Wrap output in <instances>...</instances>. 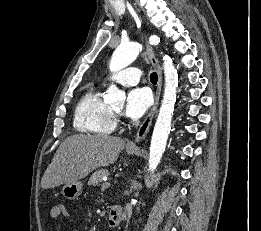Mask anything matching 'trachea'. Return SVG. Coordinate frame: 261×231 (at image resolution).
<instances>
[{
    "label": "trachea",
    "instance_id": "trachea-1",
    "mask_svg": "<svg viewBox=\"0 0 261 231\" xmlns=\"http://www.w3.org/2000/svg\"><path fill=\"white\" fill-rule=\"evenodd\" d=\"M157 80H158L157 74H156L155 72L151 73V75H150V81H151L153 84H156V83H157Z\"/></svg>",
    "mask_w": 261,
    "mask_h": 231
}]
</instances>
